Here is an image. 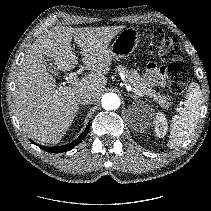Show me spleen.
I'll return each mask as SVG.
<instances>
[{
	"instance_id": "obj_1",
	"label": "spleen",
	"mask_w": 211,
	"mask_h": 211,
	"mask_svg": "<svg viewBox=\"0 0 211 211\" xmlns=\"http://www.w3.org/2000/svg\"><path fill=\"white\" fill-rule=\"evenodd\" d=\"M203 95L198 83L192 82L186 94L185 107L172 117L169 148L180 146L195 131L200 117Z\"/></svg>"
}]
</instances>
